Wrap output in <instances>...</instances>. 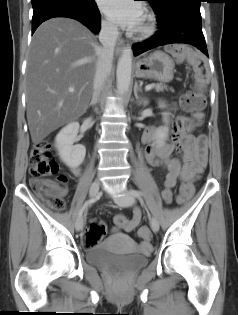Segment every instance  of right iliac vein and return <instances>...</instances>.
Instances as JSON below:
<instances>
[{
	"label": "right iliac vein",
	"instance_id": "right-iliac-vein-1",
	"mask_svg": "<svg viewBox=\"0 0 238 315\" xmlns=\"http://www.w3.org/2000/svg\"><path fill=\"white\" fill-rule=\"evenodd\" d=\"M99 190H100V182L99 181H94L91 186H90V196L91 197H95L99 194ZM83 224H84V220L82 217H79L76 220V224H75V228L77 231H80L83 228Z\"/></svg>",
	"mask_w": 238,
	"mask_h": 315
}]
</instances>
